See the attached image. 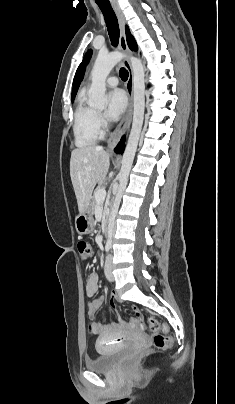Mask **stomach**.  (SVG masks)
Instances as JSON below:
<instances>
[{"label":"stomach","instance_id":"0dacf381","mask_svg":"<svg viewBox=\"0 0 235 404\" xmlns=\"http://www.w3.org/2000/svg\"><path fill=\"white\" fill-rule=\"evenodd\" d=\"M95 222L93 219V214L91 208L82 213H80L75 218V228L78 234L85 235L89 234L94 230Z\"/></svg>","mask_w":235,"mask_h":404}]
</instances>
